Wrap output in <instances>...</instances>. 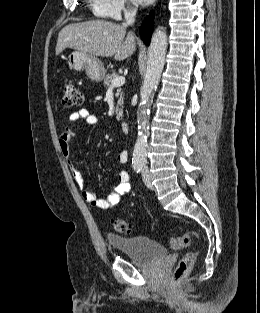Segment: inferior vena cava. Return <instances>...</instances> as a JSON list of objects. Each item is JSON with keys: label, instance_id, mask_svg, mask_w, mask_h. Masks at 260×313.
<instances>
[{"label": "inferior vena cava", "instance_id": "602c4592", "mask_svg": "<svg viewBox=\"0 0 260 313\" xmlns=\"http://www.w3.org/2000/svg\"><path fill=\"white\" fill-rule=\"evenodd\" d=\"M136 12H137V9L135 8L130 11H126L124 13V17H125V22L123 23L124 26H128L134 23Z\"/></svg>", "mask_w": 260, "mask_h": 313}]
</instances>
